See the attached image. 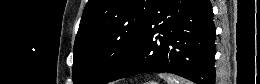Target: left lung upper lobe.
Masks as SVG:
<instances>
[{"label": "left lung upper lobe", "mask_w": 260, "mask_h": 84, "mask_svg": "<svg viewBox=\"0 0 260 84\" xmlns=\"http://www.w3.org/2000/svg\"><path fill=\"white\" fill-rule=\"evenodd\" d=\"M156 0H89L74 44V84H106L133 51Z\"/></svg>", "instance_id": "1"}]
</instances>
